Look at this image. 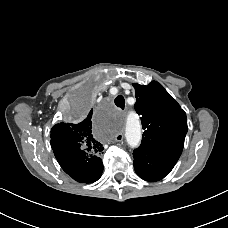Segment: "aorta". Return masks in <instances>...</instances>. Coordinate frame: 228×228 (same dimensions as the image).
Segmentation results:
<instances>
[{"mask_svg":"<svg viewBox=\"0 0 228 228\" xmlns=\"http://www.w3.org/2000/svg\"><path fill=\"white\" fill-rule=\"evenodd\" d=\"M125 137L131 147H137L141 141V125L132 114L126 119Z\"/></svg>","mask_w":228,"mask_h":228,"instance_id":"obj_1","label":"aorta"}]
</instances>
